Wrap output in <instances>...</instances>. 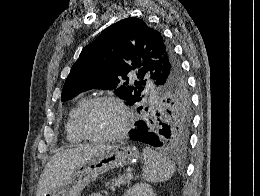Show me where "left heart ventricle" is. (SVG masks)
I'll use <instances>...</instances> for the list:
<instances>
[{"label":"left heart ventricle","instance_id":"left-heart-ventricle-1","mask_svg":"<svg viewBox=\"0 0 260 196\" xmlns=\"http://www.w3.org/2000/svg\"><path fill=\"white\" fill-rule=\"evenodd\" d=\"M123 123L119 108L109 103H97L83 115L82 124L92 135H106L117 131Z\"/></svg>","mask_w":260,"mask_h":196}]
</instances>
